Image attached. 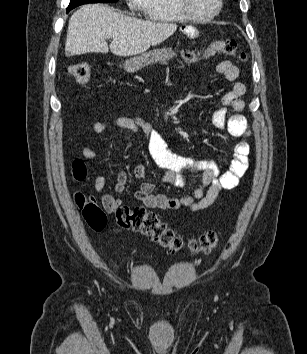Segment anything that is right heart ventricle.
I'll return each instance as SVG.
<instances>
[{
	"instance_id": "1",
	"label": "right heart ventricle",
	"mask_w": 307,
	"mask_h": 354,
	"mask_svg": "<svg viewBox=\"0 0 307 354\" xmlns=\"http://www.w3.org/2000/svg\"><path fill=\"white\" fill-rule=\"evenodd\" d=\"M146 17L156 22H183L185 17L179 12L176 0H146L143 6Z\"/></svg>"
}]
</instances>
